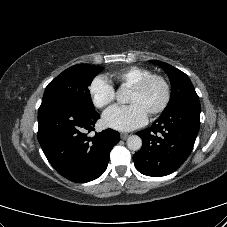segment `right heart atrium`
Instances as JSON below:
<instances>
[{"label": "right heart atrium", "mask_w": 227, "mask_h": 227, "mask_svg": "<svg viewBox=\"0 0 227 227\" xmlns=\"http://www.w3.org/2000/svg\"><path fill=\"white\" fill-rule=\"evenodd\" d=\"M88 90L93 104L98 108L108 106L115 99V90L105 76H96L91 81Z\"/></svg>", "instance_id": "right-heart-atrium-1"}]
</instances>
